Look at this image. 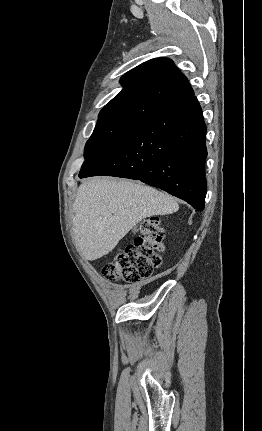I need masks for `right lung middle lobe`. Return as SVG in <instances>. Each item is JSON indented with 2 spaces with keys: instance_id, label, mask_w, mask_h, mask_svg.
Returning <instances> with one entry per match:
<instances>
[{
  "instance_id": "dd1d6c3e",
  "label": "right lung middle lobe",
  "mask_w": 262,
  "mask_h": 431,
  "mask_svg": "<svg viewBox=\"0 0 262 431\" xmlns=\"http://www.w3.org/2000/svg\"><path fill=\"white\" fill-rule=\"evenodd\" d=\"M132 126V124L120 123L96 125L93 134L86 143L85 162L80 172L91 167Z\"/></svg>"
}]
</instances>
